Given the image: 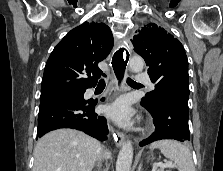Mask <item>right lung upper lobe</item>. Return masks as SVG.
<instances>
[{
	"label": "right lung upper lobe",
	"instance_id": "1",
	"mask_svg": "<svg viewBox=\"0 0 223 171\" xmlns=\"http://www.w3.org/2000/svg\"><path fill=\"white\" fill-rule=\"evenodd\" d=\"M112 47V32L104 23L84 22L71 30L48 58L40 99L95 86L103 74L98 63Z\"/></svg>",
	"mask_w": 223,
	"mask_h": 171
}]
</instances>
